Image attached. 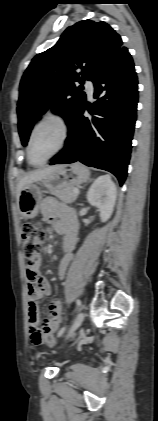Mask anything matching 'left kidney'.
I'll list each match as a JSON object with an SVG mask.
<instances>
[{"mask_svg": "<svg viewBox=\"0 0 158 421\" xmlns=\"http://www.w3.org/2000/svg\"><path fill=\"white\" fill-rule=\"evenodd\" d=\"M116 196V185L109 176H100L89 188L87 200L99 209L101 222H106L111 217Z\"/></svg>", "mask_w": 158, "mask_h": 421, "instance_id": "obj_1", "label": "left kidney"}]
</instances>
